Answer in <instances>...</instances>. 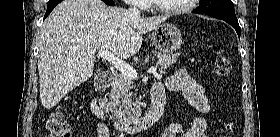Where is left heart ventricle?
Instances as JSON below:
<instances>
[{"label":"left heart ventricle","mask_w":280,"mask_h":137,"mask_svg":"<svg viewBox=\"0 0 280 137\" xmlns=\"http://www.w3.org/2000/svg\"><path fill=\"white\" fill-rule=\"evenodd\" d=\"M157 2L163 7L173 8L183 5L185 0H157Z\"/></svg>","instance_id":"left-heart-ventricle-1"}]
</instances>
